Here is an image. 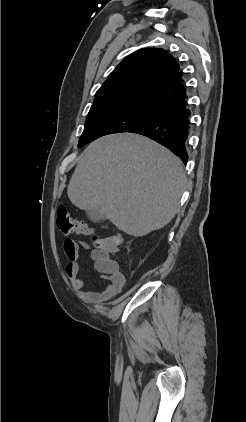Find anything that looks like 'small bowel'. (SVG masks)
Listing matches in <instances>:
<instances>
[{
    "label": "small bowel",
    "mask_w": 246,
    "mask_h": 422,
    "mask_svg": "<svg viewBox=\"0 0 246 422\" xmlns=\"http://www.w3.org/2000/svg\"><path fill=\"white\" fill-rule=\"evenodd\" d=\"M80 246L91 250V246L87 242H79L73 239H66L64 242V251L69 259L66 266L67 277L70 279L73 286L81 291L83 297L92 303H102L114 298L121 292L125 284V278L121 272L120 265L118 264L115 271L112 273L105 271L102 264L106 256L102 252L92 250L91 258L95 262V268L103 274L108 283L101 292L85 291L84 289L87 286V281L79 276L81 270L79 263Z\"/></svg>",
    "instance_id": "c3829d8e"
}]
</instances>
